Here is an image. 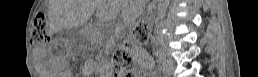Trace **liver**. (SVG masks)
Instances as JSON below:
<instances>
[{
	"label": "liver",
	"instance_id": "liver-1",
	"mask_svg": "<svg viewBox=\"0 0 258 77\" xmlns=\"http://www.w3.org/2000/svg\"><path fill=\"white\" fill-rule=\"evenodd\" d=\"M62 21L69 26H74L76 24V2L74 0L64 1Z\"/></svg>",
	"mask_w": 258,
	"mask_h": 77
}]
</instances>
